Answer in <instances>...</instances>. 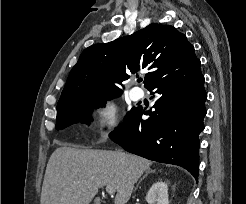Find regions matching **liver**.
I'll list each match as a JSON object with an SVG mask.
<instances>
[{
	"mask_svg": "<svg viewBox=\"0 0 246 204\" xmlns=\"http://www.w3.org/2000/svg\"><path fill=\"white\" fill-rule=\"evenodd\" d=\"M151 164L122 151L59 147L48 160L40 203L89 204L100 187L109 185L116 192L114 204H126Z\"/></svg>",
	"mask_w": 246,
	"mask_h": 204,
	"instance_id": "obj_1",
	"label": "liver"
}]
</instances>
